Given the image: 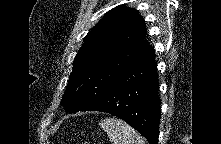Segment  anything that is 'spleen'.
<instances>
[{"label": "spleen", "mask_w": 221, "mask_h": 144, "mask_svg": "<svg viewBox=\"0 0 221 144\" xmlns=\"http://www.w3.org/2000/svg\"><path fill=\"white\" fill-rule=\"evenodd\" d=\"M99 125L113 144H145L144 138L121 119L107 118Z\"/></svg>", "instance_id": "obj_1"}]
</instances>
